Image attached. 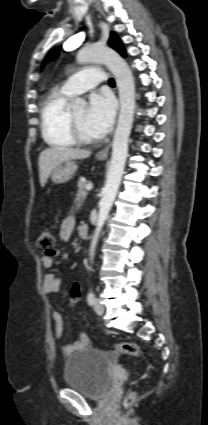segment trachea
Here are the masks:
<instances>
[{
    "label": "trachea",
    "instance_id": "1",
    "mask_svg": "<svg viewBox=\"0 0 208 425\" xmlns=\"http://www.w3.org/2000/svg\"><path fill=\"white\" fill-rule=\"evenodd\" d=\"M109 85H111V86L115 85V82H114V80L112 78L109 79Z\"/></svg>",
    "mask_w": 208,
    "mask_h": 425
}]
</instances>
